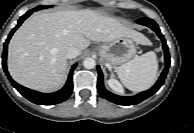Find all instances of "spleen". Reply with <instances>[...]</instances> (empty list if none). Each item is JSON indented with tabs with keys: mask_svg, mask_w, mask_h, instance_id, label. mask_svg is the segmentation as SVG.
Masks as SVG:
<instances>
[{
	"mask_svg": "<svg viewBox=\"0 0 194 133\" xmlns=\"http://www.w3.org/2000/svg\"><path fill=\"white\" fill-rule=\"evenodd\" d=\"M158 62L152 51L121 65L117 69L118 77L126 88L133 92H142L149 89L156 81Z\"/></svg>",
	"mask_w": 194,
	"mask_h": 133,
	"instance_id": "spleen-1",
	"label": "spleen"
}]
</instances>
